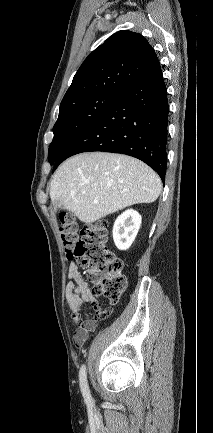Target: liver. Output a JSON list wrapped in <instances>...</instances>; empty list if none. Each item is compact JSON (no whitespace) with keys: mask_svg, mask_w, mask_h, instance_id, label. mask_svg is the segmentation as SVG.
Returning a JSON list of instances; mask_svg holds the SVG:
<instances>
[{"mask_svg":"<svg viewBox=\"0 0 213 433\" xmlns=\"http://www.w3.org/2000/svg\"><path fill=\"white\" fill-rule=\"evenodd\" d=\"M157 173L123 154L93 152L66 160L50 183V197L80 221L92 223L125 207L152 203L160 195Z\"/></svg>","mask_w":213,"mask_h":433,"instance_id":"6515ba94","label":"liver"}]
</instances>
